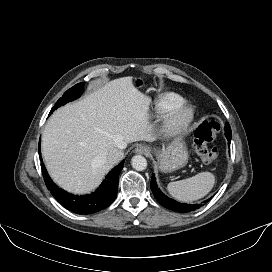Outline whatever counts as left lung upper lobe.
<instances>
[{
  "label": "left lung upper lobe",
  "mask_w": 272,
  "mask_h": 272,
  "mask_svg": "<svg viewBox=\"0 0 272 272\" xmlns=\"http://www.w3.org/2000/svg\"><path fill=\"white\" fill-rule=\"evenodd\" d=\"M229 127H230L229 124L226 123V124H225V130H227Z\"/></svg>",
  "instance_id": "1"
}]
</instances>
